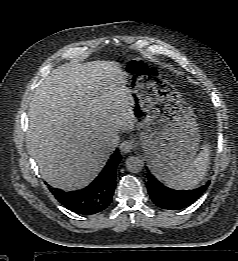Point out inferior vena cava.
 Masks as SVG:
<instances>
[{"instance_id":"inferior-vena-cava-1","label":"inferior vena cava","mask_w":238,"mask_h":261,"mask_svg":"<svg viewBox=\"0 0 238 261\" xmlns=\"http://www.w3.org/2000/svg\"><path fill=\"white\" fill-rule=\"evenodd\" d=\"M119 137L118 135H114L108 139H106V146L109 152H113L115 148L118 146Z\"/></svg>"}]
</instances>
